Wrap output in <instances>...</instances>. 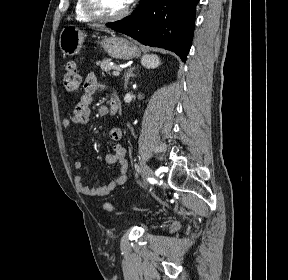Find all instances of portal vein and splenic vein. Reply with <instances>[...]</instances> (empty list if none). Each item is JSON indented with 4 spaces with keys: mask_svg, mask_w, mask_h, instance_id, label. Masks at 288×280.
Segmentation results:
<instances>
[{
    "mask_svg": "<svg viewBox=\"0 0 288 280\" xmlns=\"http://www.w3.org/2000/svg\"><path fill=\"white\" fill-rule=\"evenodd\" d=\"M120 70H121V69H120L119 67H117V68L114 69V71H113L112 74H113L114 76H118V75L120 74Z\"/></svg>",
    "mask_w": 288,
    "mask_h": 280,
    "instance_id": "portal-vein-and-splenic-vein-1",
    "label": "portal vein and splenic vein"
}]
</instances>
